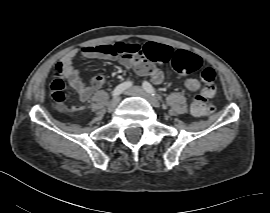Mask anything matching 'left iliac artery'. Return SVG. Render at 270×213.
Listing matches in <instances>:
<instances>
[{
    "mask_svg": "<svg viewBox=\"0 0 270 213\" xmlns=\"http://www.w3.org/2000/svg\"><path fill=\"white\" fill-rule=\"evenodd\" d=\"M143 88L146 92L150 93L151 95H153V96L156 95L158 97V99L163 102L162 97L156 93L154 87L149 82L144 81Z\"/></svg>",
    "mask_w": 270,
    "mask_h": 213,
    "instance_id": "left-iliac-artery-1",
    "label": "left iliac artery"
}]
</instances>
